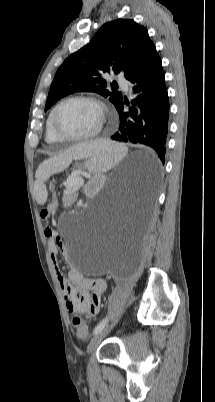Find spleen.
<instances>
[{"mask_svg": "<svg viewBox=\"0 0 215 402\" xmlns=\"http://www.w3.org/2000/svg\"><path fill=\"white\" fill-rule=\"evenodd\" d=\"M127 147L116 144L109 140H95L78 144L59 157L44 161L36 172L37 187L35 194L40 204L46 201L47 187L43 181L47 180L52 174L61 172L69 166L72 159L89 157L85 162V167L92 174L96 175L97 170L104 171L110 169L121 157L127 153Z\"/></svg>", "mask_w": 215, "mask_h": 402, "instance_id": "1", "label": "spleen"}]
</instances>
